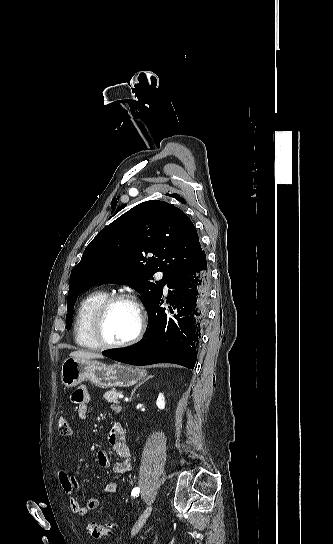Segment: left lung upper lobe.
<instances>
[{
	"label": "left lung upper lobe",
	"mask_w": 333,
	"mask_h": 544,
	"mask_svg": "<svg viewBox=\"0 0 333 544\" xmlns=\"http://www.w3.org/2000/svg\"><path fill=\"white\" fill-rule=\"evenodd\" d=\"M201 250L197 231L181 209L157 200L138 204L100 231L72 269L66 328L84 289L103 282L129 284L149 308ZM158 271L163 278L152 282Z\"/></svg>",
	"instance_id": "obj_1"
}]
</instances>
